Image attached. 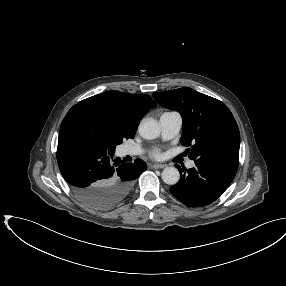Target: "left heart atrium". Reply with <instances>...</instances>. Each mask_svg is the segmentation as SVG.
Instances as JSON below:
<instances>
[{"label":"left heart atrium","instance_id":"left-heart-atrium-1","mask_svg":"<svg viewBox=\"0 0 286 286\" xmlns=\"http://www.w3.org/2000/svg\"><path fill=\"white\" fill-rule=\"evenodd\" d=\"M152 157L154 158H160L161 157V153L159 150H155L152 152Z\"/></svg>","mask_w":286,"mask_h":286}]
</instances>
